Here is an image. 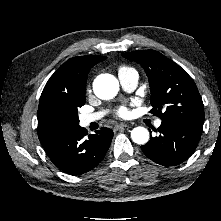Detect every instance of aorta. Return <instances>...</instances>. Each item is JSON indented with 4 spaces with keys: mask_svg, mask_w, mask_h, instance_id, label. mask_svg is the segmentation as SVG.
Wrapping results in <instances>:
<instances>
[{
    "mask_svg": "<svg viewBox=\"0 0 221 221\" xmlns=\"http://www.w3.org/2000/svg\"><path fill=\"white\" fill-rule=\"evenodd\" d=\"M93 90L98 98L105 100L111 99L119 91V82L111 74H101L95 78ZM131 138L137 144H146L149 140V131L144 127H135L131 131Z\"/></svg>",
    "mask_w": 221,
    "mask_h": 221,
    "instance_id": "1",
    "label": "aorta"
}]
</instances>
